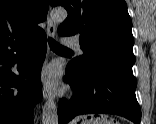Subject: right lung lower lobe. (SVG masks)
I'll return each instance as SVG.
<instances>
[{
    "mask_svg": "<svg viewBox=\"0 0 156 124\" xmlns=\"http://www.w3.org/2000/svg\"><path fill=\"white\" fill-rule=\"evenodd\" d=\"M46 49L43 30L24 42L0 46V124H33V108L42 95L40 72ZM14 64L20 76L11 71Z\"/></svg>",
    "mask_w": 156,
    "mask_h": 124,
    "instance_id": "obj_1",
    "label": "right lung lower lobe"
}]
</instances>
